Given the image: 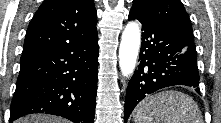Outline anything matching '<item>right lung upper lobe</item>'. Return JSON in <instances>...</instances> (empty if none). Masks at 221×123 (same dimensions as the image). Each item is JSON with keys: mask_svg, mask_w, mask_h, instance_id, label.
I'll use <instances>...</instances> for the list:
<instances>
[{"mask_svg": "<svg viewBox=\"0 0 221 123\" xmlns=\"http://www.w3.org/2000/svg\"><path fill=\"white\" fill-rule=\"evenodd\" d=\"M93 0H45L33 16L23 53L61 48L97 34Z\"/></svg>", "mask_w": 221, "mask_h": 123, "instance_id": "cb5924a9", "label": "right lung upper lobe"}]
</instances>
